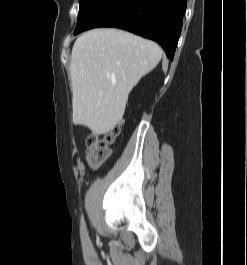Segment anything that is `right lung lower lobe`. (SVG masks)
<instances>
[{
  "label": "right lung lower lobe",
  "mask_w": 247,
  "mask_h": 265,
  "mask_svg": "<svg viewBox=\"0 0 247 265\" xmlns=\"http://www.w3.org/2000/svg\"><path fill=\"white\" fill-rule=\"evenodd\" d=\"M186 0H99L74 34L95 27L121 28L158 42L173 59Z\"/></svg>",
  "instance_id": "1"
}]
</instances>
